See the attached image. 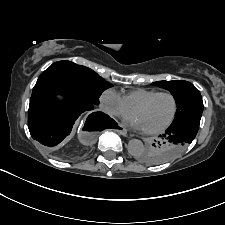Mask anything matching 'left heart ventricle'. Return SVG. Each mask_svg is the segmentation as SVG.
<instances>
[{
    "label": "left heart ventricle",
    "instance_id": "b2bd125f",
    "mask_svg": "<svg viewBox=\"0 0 225 225\" xmlns=\"http://www.w3.org/2000/svg\"><path fill=\"white\" fill-rule=\"evenodd\" d=\"M173 111V102L169 96H160L146 107L136 111L134 116L140 121L143 129H155L168 121Z\"/></svg>",
    "mask_w": 225,
    "mask_h": 225
}]
</instances>
